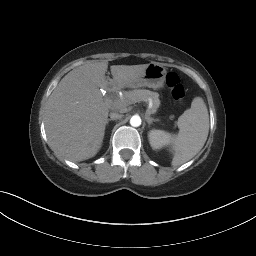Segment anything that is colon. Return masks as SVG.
<instances>
[{
    "mask_svg": "<svg viewBox=\"0 0 256 256\" xmlns=\"http://www.w3.org/2000/svg\"><path fill=\"white\" fill-rule=\"evenodd\" d=\"M166 86L170 91L172 98L176 101H182L185 90L181 84L179 76L175 72H169L166 75Z\"/></svg>",
    "mask_w": 256,
    "mask_h": 256,
    "instance_id": "1",
    "label": "colon"
}]
</instances>
